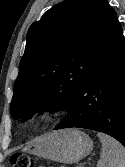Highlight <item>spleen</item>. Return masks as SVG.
Returning a JSON list of instances; mask_svg holds the SVG:
<instances>
[{
    "label": "spleen",
    "instance_id": "obj_1",
    "mask_svg": "<svg viewBox=\"0 0 125 167\" xmlns=\"http://www.w3.org/2000/svg\"><path fill=\"white\" fill-rule=\"evenodd\" d=\"M102 148L97 167H125V148L114 138L98 133Z\"/></svg>",
    "mask_w": 125,
    "mask_h": 167
}]
</instances>
